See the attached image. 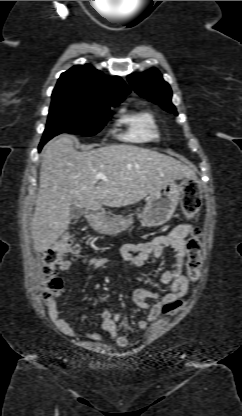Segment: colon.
Returning a JSON list of instances; mask_svg holds the SVG:
<instances>
[{"label":"colon","mask_w":242,"mask_h":416,"mask_svg":"<svg viewBox=\"0 0 242 416\" xmlns=\"http://www.w3.org/2000/svg\"><path fill=\"white\" fill-rule=\"evenodd\" d=\"M182 209L186 219L195 217L202 203L200 186L197 179H188L182 185ZM187 271L192 281H197L202 274V246L201 230L195 227L186 241ZM80 254V247L70 237L64 236L45 250L42 256V269L44 281L41 285V296L50 308L62 294L63 282L57 266L68 255ZM183 306L181 301L167 304L163 313H169Z\"/></svg>","instance_id":"5ec220e1"}]
</instances>
